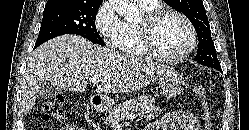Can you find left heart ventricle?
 <instances>
[{
    "instance_id": "b2bd125f",
    "label": "left heart ventricle",
    "mask_w": 249,
    "mask_h": 130,
    "mask_svg": "<svg viewBox=\"0 0 249 130\" xmlns=\"http://www.w3.org/2000/svg\"><path fill=\"white\" fill-rule=\"evenodd\" d=\"M190 34L185 23L175 17H164L155 27L154 41L157 48L167 55H177L188 46Z\"/></svg>"
}]
</instances>
